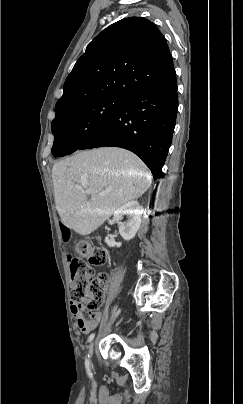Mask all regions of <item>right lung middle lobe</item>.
Returning a JSON list of instances; mask_svg holds the SVG:
<instances>
[{"label":"right lung middle lobe","instance_id":"right-lung-middle-lobe-1","mask_svg":"<svg viewBox=\"0 0 243 404\" xmlns=\"http://www.w3.org/2000/svg\"><path fill=\"white\" fill-rule=\"evenodd\" d=\"M125 98L106 97L73 107L55 117L54 157L69 155L100 131L114 116Z\"/></svg>","mask_w":243,"mask_h":404}]
</instances>
